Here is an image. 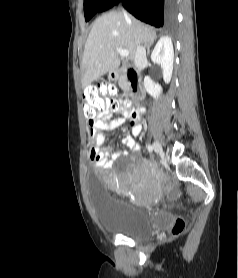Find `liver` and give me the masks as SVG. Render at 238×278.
Here are the masks:
<instances>
[{
	"label": "liver",
	"mask_w": 238,
	"mask_h": 278,
	"mask_svg": "<svg viewBox=\"0 0 238 278\" xmlns=\"http://www.w3.org/2000/svg\"><path fill=\"white\" fill-rule=\"evenodd\" d=\"M156 31L124 13L111 11L97 18L87 38L83 58L81 84L87 89L92 82L120 65L116 48L126 49L134 60L137 41L153 43Z\"/></svg>",
	"instance_id": "liver-1"
}]
</instances>
